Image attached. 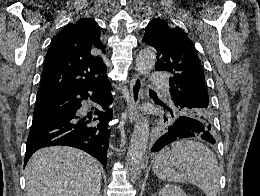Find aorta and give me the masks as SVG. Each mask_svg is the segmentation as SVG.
<instances>
[{
    "label": "aorta",
    "instance_id": "762f6f07",
    "mask_svg": "<svg viewBox=\"0 0 260 196\" xmlns=\"http://www.w3.org/2000/svg\"><path fill=\"white\" fill-rule=\"evenodd\" d=\"M156 63V51L146 48L136 57V68L141 75H148ZM149 138V123L141 118L134 127L127 153V166L132 178H137L145 167V153Z\"/></svg>",
    "mask_w": 260,
    "mask_h": 196
}]
</instances>
